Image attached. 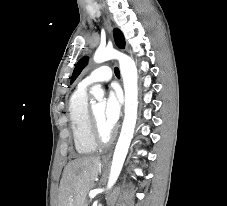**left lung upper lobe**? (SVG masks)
Listing matches in <instances>:
<instances>
[{
	"label": "left lung upper lobe",
	"instance_id": "1",
	"mask_svg": "<svg viewBox=\"0 0 227 206\" xmlns=\"http://www.w3.org/2000/svg\"><path fill=\"white\" fill-rule=\"evenodd\" d=\"M114 39H115V43L119 48H124L125 46V40H124V36L121 33V31H119L118 29L114 30ZM88 61V57H83L79 60V62L77 63L72 77H71V83L77 78V76L81 73L82 69L85 67V65L87 64Z\"/></svg>",
	"mask_w": 227,
	"mask_h": 206
}]
</instances>
